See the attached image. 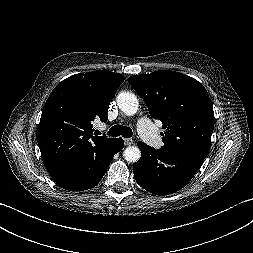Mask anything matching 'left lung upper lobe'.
Listing matches in <instances>:
<instances>
[{
  "instance_id": "5c2ea615",
  "label": "left lung upper lobe",
  "mask_w": 253,
  "mask_h": 253,
  "mask_svg": "<svg viewBox=\"0 0 253 253\" xmlns=\"http://www.w3.org/2000/svg\"><path fill=\"white\" fill-rule=\"evenodd\" d=\"M150 115L163 123L162 154L173 160L188 155L206 158L214 128L213 105L196 79L171 70L128 78Z\"/></svg>"
}]
</instances>
